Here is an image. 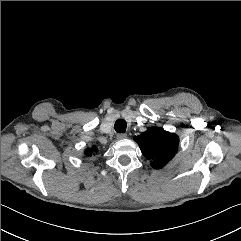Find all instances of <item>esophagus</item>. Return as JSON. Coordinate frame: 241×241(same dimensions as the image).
I'll use <instances>...</instances> for the list:
<instances>
[{
    "mask_svg": "<svg viewBox=\"0 0 241 241\" xmlns=\"http://www.w3.org/2000/svg\"><path fill=\"white\" fill-rule=\"evenodd\" d=\"M127 138V134L126 133H119L117 134V139L118 140H122V139H125Z\"/></svg>",
    "mask_w": 241,
    "mask_h": 241,
    "instance_id": "1",
    "label": "esophagus"
}]
</instances>
